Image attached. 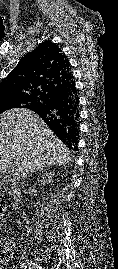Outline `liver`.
Instances as JSON below:
<instances>
[{"instance_id":"6515ba94","label":"liver","mask_w":118,"mask_h":269,"mask_svg":"<svg viewBox=\"0 0 118 269\" xmlns=\"http://www.w3.org/2000/svg\"><path fill=\"white\" fill-rule=\"evenodd\" d=\"M71 161V151L34 112L16 108L0 115V173L9 165L22 177Z\"/></svg>"}]
</instances>
